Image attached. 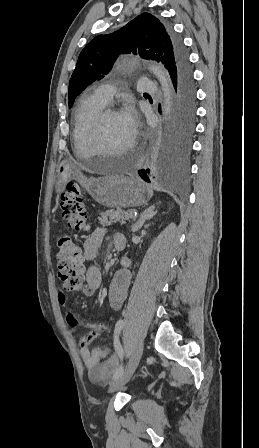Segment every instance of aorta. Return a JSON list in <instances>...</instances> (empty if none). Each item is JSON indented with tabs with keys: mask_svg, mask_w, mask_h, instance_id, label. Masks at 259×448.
<instances>
[{
	"mask_svg": "<svg viewBox=\"0 0 259 448\" xmlns=\"http://www.w3.org/2000/svg\"><path fill=\"white\" fill-rule=\"evenodd\" d=\"M150 69L156 75V77L158 78V80L162 85L164 95V102L162 104V114L164 116V119L168 120L172 108V88L170 78L168 76L167 71L160 64L156 63L151 64Z\"/></svg>",
	"mask_w": 259,
	"mask_h": 448,
	"instance_id": "1",
	"label": "aorta"
}]
</instances>
